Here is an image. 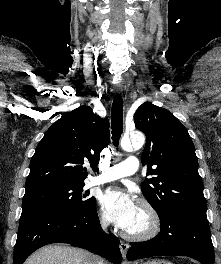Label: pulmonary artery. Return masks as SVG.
<instances>
[{"label":"pulmonary artery","instance_id":"pulmonary-artery-1","mask_svg":"<svg viewBox=\"0 0 221 264\" xmlns=\"http://www.w3.org/2000/svg\"><path fill=\"white\" fill-rule=\"evenodd\" d=\"M139 170V160L129 157L126 160L106 168L103 173L90 180L89 185H98L133 175Z\"/></svg>","mask_w":221,"mask_h":264}]
</instances>
